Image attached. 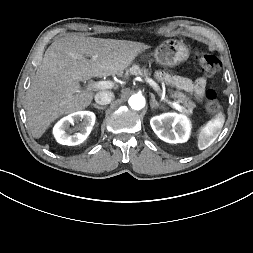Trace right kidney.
I'll list each match as a JSON object with an SVG mask.
<instances>
[{
	"mask_svg": "<svg viewBox=\"0 0 253 253\" xmlns=\"http://www.w3.org/2000/svg\"><path fill=\"white\" fill-rule=\"evenodd\" d=\"M81 121V123H79ZM77 124V133L71 135L70 124ZM95 123V114L90 111H78L72 113L56 123L53 134L58 143L62 145H78L90 134Z\"/></svg>",
	"mask_w": 253,
	"mask_h": 253,
	"instance_id": "1",
	"label": "right kidney"
}]
</instances>
